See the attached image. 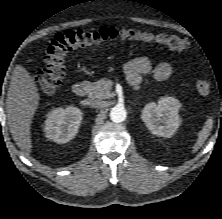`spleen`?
<instances>
[{
    "instance_id": "spleen-1",
    "label": "spleen",
    "mask_w": 222,
    "mask_h": 219,
    "mask_svg": "<svg viewBox=\"0 0 222 219\" xmlns=\"http://www.w3.org/2000/svg\"><path fill=\"white\" fill-rule=\"evenodd\" d=\"M212 123H213L212 118H208L207 121L205 122V125L203 126L202 130L199 132L198 139L193 147V152L198 151L200 147L204 144V142L207 140L212 130Z\"/></svg>"
}]
</instances>
